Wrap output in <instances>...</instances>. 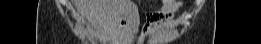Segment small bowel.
<instances>
[{
  "label": "small bowel",
  "mask_w": 261,
  "mask_h": 44,
  "mask_svg": "<svg viewBox=\"0 0 261 44\" xmlns=\"http://www.w3.org/2000/svg\"><path fill=\"white\" fill-rule=\"evenodd\" d=\"M177 9H178V5L172 6L171 4H169L168 6H163L158 11V13L155 14L154 17L152 18L148 29L159 27L160 25L170 21L172 15L177 11Z\"/></svg>",
  "instance_id": "c3829d8e"
}]
</instances>
